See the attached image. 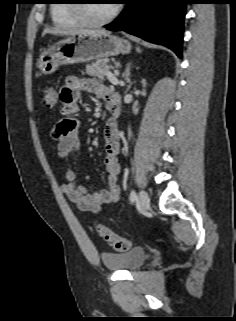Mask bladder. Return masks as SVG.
<instances>
[{"label": "bladder", "instance_id": "obj_1", "mask_svg": "<svg viewBox=\"0 0 236 321\" xmlns=\"http://www.w3.org/2000/svg\"><path fill=\"white\" fill-rule=\"evenodd\" d=\"M147 256V251L138 247L125 252L103 253L101 259L108 270L131 272L139 269L145 263Z\"/></svg>", "mask_w": 236, "mask_h": 321}]
</instances>
